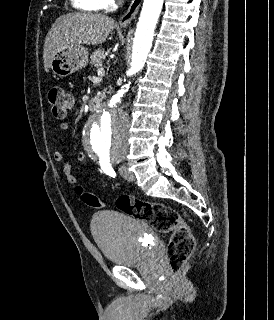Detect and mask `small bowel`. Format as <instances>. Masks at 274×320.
I'll use <instances>...</instances> for the list:
<instances>
[{"label": "small bowel", "mask_w": 274, "mask_h": 320, "mask_svg": "<svg viewBox=\"0 0 274 320\" xmlns=\"http://www.w3.org/2000/svg\"><path fill=\"white\" fill-rule=\"evenodd\" d=\"M68 129H69V124L66 122H63L59 125V130L61 132H65ZM53 158L61 166V169H62V172L64 174L66 181L69 184H76L78 182V179L72 171L71 164L65 160L63 153L60 151H56L53 154ZM85 159H86V156L83 152H79L77 154V161L79 163H83L85 161Z\"/></svg>", "instance_id": "obj_1"}]
</instances>
